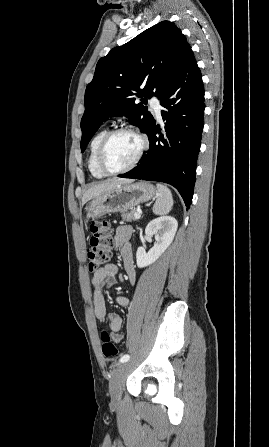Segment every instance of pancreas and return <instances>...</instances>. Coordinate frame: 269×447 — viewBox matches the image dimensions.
I'll return each instance as SVG.
<instances>
[{
    "label": "pancreas",
    "instance_id": "1",
    "mask_svg": "<svg viewBox=\"0 0 269 447\" xmlns=\"http://www.w3.org/2000/svg\"><path fill=\"white\" fill-rule=\"evenodd\" d=\"M135 210H130V212H127V210H124V212H121V218L122 220H127V222H135L134 218Z\"/></svg>",
    "mask_w": 269,
    "mask_h": 447
}]
</instances>
